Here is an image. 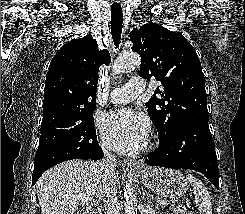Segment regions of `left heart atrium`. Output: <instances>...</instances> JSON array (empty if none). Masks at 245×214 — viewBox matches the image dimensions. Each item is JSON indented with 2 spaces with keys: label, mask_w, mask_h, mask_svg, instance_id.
Here are the masks:
<instances>
[{
  "label": "left heart atrium",
  "mask_w": 245,
  "mask_h": 214,
  "mask_svg": "<svg viewBox=\"0 0 245 214\" xmlns=\"http://www.w3.org/2000/svg\"><path fill=\"white\" fill-rule=\"evenodd\" d=\"M99 128L107 146L120 153H128L140 148L149 132L147 119L130 109H120L103 114Z\"/></svg>",
  "instance_id": "left-heart-atrium-1"
}]
</instances>
